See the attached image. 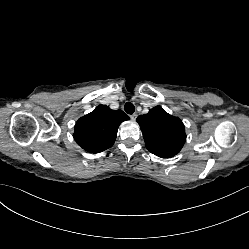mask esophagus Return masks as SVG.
Wrapping results in <instances>:
<instances>
[{
	"label": "esophagus",
	"mask_w": 249,
	"mask_h": 249,
	"mask_svg": "<svg viewBox=\"0 0 249 249\" xmlns=\"http://www.w3.org/2000/svg\"><path fill=\"white\" fill-rule=\"evenodd\" d=\"M130 118H131L133 121H135L136 118H137V114L135 113V114L130 115Z\"/></svg>",
	"instance_id": "esophagus-1"
}]
</instances>
